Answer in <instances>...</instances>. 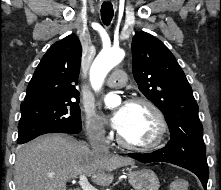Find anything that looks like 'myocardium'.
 I'll return each mask as SVG.
<instances>
[{
  "label": "myocardium",
  "mask_w": 221,
  "mask_h": 190,
  "mask_svg": "<svg viewBox=\"0 0 221 190\" xmlns=\"http://www.w3.org/2000/svg\"><path fill=\"white\" fill-rule=\"evenodd\" d=\"M127 104L144 105L151 110L156 122L155 135L149 143L134 144L124 139L120 132H117V142L122 147L137 152H148L158 149L162 145L168 131L167 121L161 109L154 102L145 97H133L128 100Z\"/></svg>",
  "instance_id": "f54148a6"
}]
</instances>
